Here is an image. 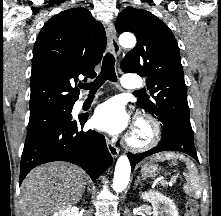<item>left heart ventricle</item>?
<instances>
[{
  "instance_id": "b2bd125f",
  "label": "left heart ventricle",
  "mask_w": 221,
  "mask_h": 216,
  "mask_svg": "<svg viewBox=\"0 0 221 216\" xmlns=\"http://www.w3.org/2000/svg\"><path fill=\"white\" fill-rule=\"evenodd\" d=\"M145 134V130L141 126H138L133 130V137L136 140L142 139L145 136Z\"/></svg>"
}]
</instances>
